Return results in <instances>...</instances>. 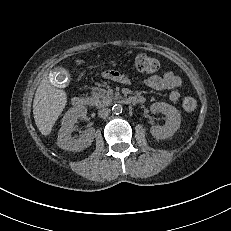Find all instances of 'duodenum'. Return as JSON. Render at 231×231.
Returning a JSON list of instances; mask_svg holds the SVG:
<instances>
[{
  "label": "duodenum",
  "instance_id": "obj_1",
  "mask_svg": "<svg viewBox=\"0 0 231 231\" xmlns=\"http://www.w3.org/2000/svg\"><path fill=\"white\" fill-rule=\"evenodd\" d=\"M125 104H141L144 102V98L140 96H129L122 100ZM87 101L84 97L75 96L72 98V105L75 108H83L86 105Z\"/></svg>",
  "mask_w": 231,
  "mask_h": 231
}]
</instances>
